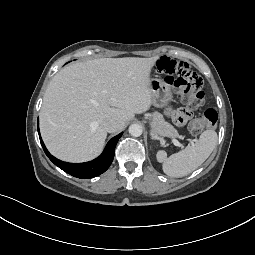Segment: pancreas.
<instances>
[{"label": "pancreas", "mask_w": 255, "mask_h": 255, "mask_svg": "<svg viewBox=\"0 0 255 255\" xmlns=\"http://www.w3.org/2000/svg\"><path fill=\"white\" fill-rule=\"evenodd\" d=\"M151 120V127L155 134L168 137H179L178 131L168 122L164 120L162 114L154 112L149 117Z\"/></svg>", "instance_id": "obj_1"}]
</instances>
